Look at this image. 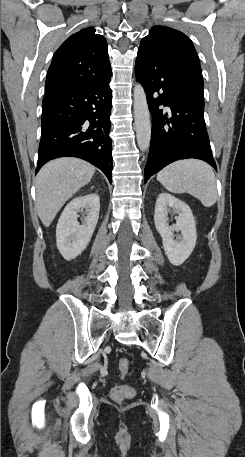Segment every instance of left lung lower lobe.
I'll return each mask as SVG.
<instances>
[{"instance_id": "obj_1", "label": "left lung lower lobe", "mask_w": 245, "mask_h": 457, "mask_svg": "<svg viewBox=\"0 0 245 457\" xmlns=\"http://www.w3.org/2000/svg\"><path fill=\"white\" fill-rule=\"evenodd\" d=\"M135 75L144 87L152 114L145 183L166 165L180 159H201L217 169L204 121V96L192 89L164 55L138 52ZM161 105L170 107L171 113L163 114Z\"/></svg>"}]
</instances>
